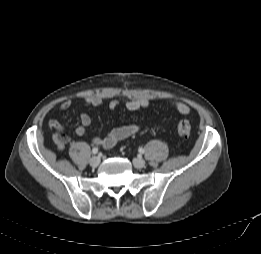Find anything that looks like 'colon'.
Listing matches in <instances>:
<instances>
[{"label":"colon","instance_id":"obj_1","mask_svg":"<svg viewBox=\"0 0 261 254\" xmlns=\"http://www.w3.org/2000/svg\"><path fill=\"white\" fill-rule=\"evenodd\" d=\"M177 129H178V133L181 136H183L185 138L190 137V135H191V125H190L189 121L181 120L178 123Z\"/></svg>","mask_w":261,"mask_h":254}]
</instances>
